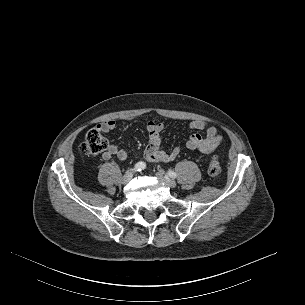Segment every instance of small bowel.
I'll return each mask as SVG.
<instances>
[{
  "label": "small bowel",
  "instance_id": "c3829d8e",
  "mask_svg": "<svg viewBox=\"0 0 305 305\" xmlns=\"http://www.w3.org/2000/svg\"><path fill=\"white\" fill-rule=\"evenodd\" d=\"M116 127L114 120H107L97 126L98 130L107 133ZM148 143L144 150V157L149 162H170L178 157L182 147H175L171 151H166L161 147V134L166 130V126L155 121L147 123ZM189 128L203 133L193 134L184 144V147L190 151L200 152L202 154L212 153L222 142V137L218 130L208 125L205 121L195 120L189 124ZM102 157L109 160L116 157L119 160H126L127 152L116 144H111L103 152Z\"/></svg>",
  "mask_w": 305,
  "mask_h": 305
}]
</instances>
